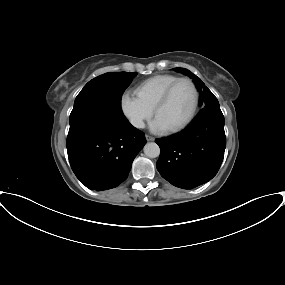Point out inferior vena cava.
<instances>
[{
  "mask_svg": "<svg viewBox=\"0 0 285 285\" xmlns=\"http://www.w3.org/2000/svg\"><path fill=\"white\" fill-rule=\"evenodd\" d=\"M132 124L135 127L144 128V122L142 120H140V119H136V120L132 121Z\"/></svg>",
  "mask_w": 285,
  "mask_h": 285,
  "instance_id": "1",
  "label": "inferior vena cava"
}]
</instances>
